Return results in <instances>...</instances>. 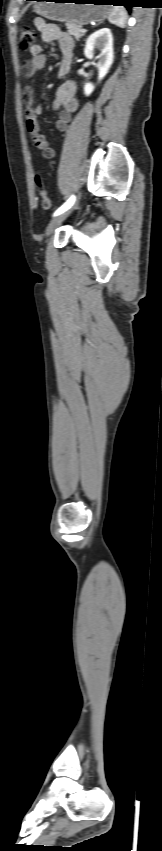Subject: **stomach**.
Listing matches in <instances>:
<instances>
[{"label": "stomach", "instance_id": "obj_1", "mask_svg": "<svg viewBox=\"0 0 162 851\" xmlns=\"http://www.w3.org/2000/svg\"><path fill=\"white\" fill-rule=\"evenodd\" d=\"M34 11L49 20L85 25L90 22H100L106 19L111 7L103 0H38Z\"/></svg>", "mask_w": 162, "mask_h": 851}]
</instances>
